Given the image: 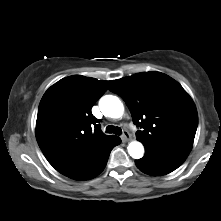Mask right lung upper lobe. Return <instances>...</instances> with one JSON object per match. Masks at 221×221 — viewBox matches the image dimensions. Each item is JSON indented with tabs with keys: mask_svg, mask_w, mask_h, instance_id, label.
<instances>
[{
	"mask_svg": "<svg viewBox=\"0 0 221 221\" xmlns=\"http://www.w3.org/2000/svg\"><path fill=\"white\" fill-rule=\"evenodd\" d=\"M111 83L74 75L61 79L43 95L36 138L56 170L87 160L117 137L105 135L91 113Z\"/></svg>",
	"mask_w": 221,
	"mask_h": 221,
	"instance_id": "1",
	"label": "right lung upper lobe"
}]
</instances>
